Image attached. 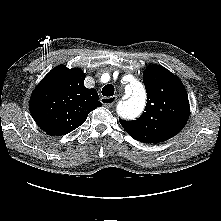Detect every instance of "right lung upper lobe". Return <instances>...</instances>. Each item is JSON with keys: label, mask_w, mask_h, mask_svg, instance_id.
Returning <instances> with one entry per match:
<instances>
[{"label": "right lung upper lobe", "mask_w": 221, "mask_h": 221, "mask_svg": "<svg viewBox=\"0 0 221 221\" xmlns=\"http://www.w3.org/2000/svg\"><path fill=\"white\" fill-rule=\"evenodd\" d=\"M85 74L78 68L58 66L34 89L29 109L48 135L67 134L82 125L88 114L102 106L95 89L84 86Z\"/></svg>", "instance_id": "obj_1"}]
</instances>
